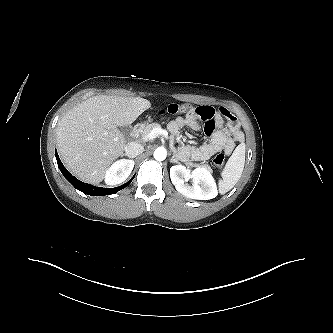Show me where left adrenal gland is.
I'll return each instance as SVG.
<instances>
[{
    "mask_svg": "<svg viewBox=\"0 0 333 333\" xmlns=\"http://www.w3.org/2000/svg\"><path fill=\"white\" fill-rule=\"evenodd\" d=\"M170 162L177 163V164L180 163L175 155H173V157L170 159Z\"/></svg>",
    "mask_w": 333,
    "mask_h": 333,
    "instance_id": "obj_1",
    "label": "left adrenal gland"
}]
</instances>
